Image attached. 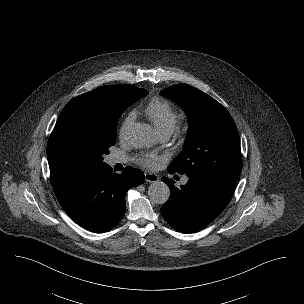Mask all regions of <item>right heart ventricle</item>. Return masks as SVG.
I'll return each mask as SVG.
<instances>
[{"instance_id":"right-heart-ventricle-1","label":"right heart ventricle","mask_w":304,"mask_h":304,"mask_svg":"<svg viewBox=\"0 0 304 304\" xmlns=\"http://www.w3.org/2000/svg\"><path fill=\"white\" fill-rule=\"evenodd\" d=\"M145 112L158 133H171L176 125L178 113L174 106L162 98L150 100Z\"/></svg>"}]
</instances>
